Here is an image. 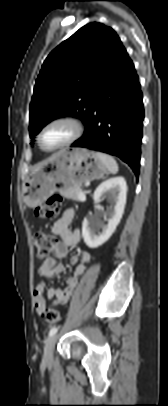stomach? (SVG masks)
<instances>
[{
	"label": "stomach",
	"mask_w": 168,
	"mask_h": 406,
	"mask_svg": "<svg viewBox=\"0 0 168 406\" xmlns=\"http://www.w3.org/2000/svg\"><path fill=\"white\" fill-rule=\"evenodd\" d=\"M106 165L97 153L84 148L63 149L52 155L25 180L22 195L25 204L37 207L56 191L81 186L102 178Z\"/></svg>",
	"instance_id": "obj_1"
}]
</instances>
